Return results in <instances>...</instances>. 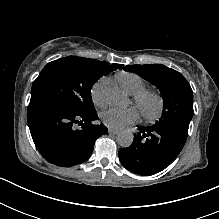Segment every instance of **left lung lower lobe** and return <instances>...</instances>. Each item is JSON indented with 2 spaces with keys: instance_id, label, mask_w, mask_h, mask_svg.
I'll return each instance as SVG.
<instances>
[{
  "instance_id": "0a47b994",
  "label": "left lung lower lobe",
  "mask_w": 219,
  "mask_h": 219,
  "mask_svg": "<svg viewBox=\"0 0 219 219\" xmlns=\"http://www.w3.org/2000/svg\"><path fill=\"white\" fill-rule=\"evenodd\" d=\"M188 132L179 127H140L133 143L119 150L122 165L139 175L149 176L168 167L181 152Z\"/></svg>"
}]
</instances>
